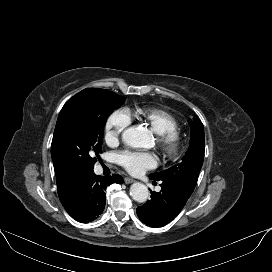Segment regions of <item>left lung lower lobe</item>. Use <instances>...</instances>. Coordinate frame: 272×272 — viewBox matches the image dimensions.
Returning <instances> with one entry per match:
<instances>
[{
	"mask_svg": "<svg viewBox=\"0 0 272 272\" xmlns=\"http://www.w3.org/2000/svg\"><path fill=\"white\" fill-rule=\"evenodd\" d=\"M160 186V192H153L151 199L137 208L139 219L151 227H161L173 220L192 194L183 186L170 181H161Z\"/></svg>",
	"mask_w": 272,
	"mask_h": 272,
	"instance_id": "obj_1",
	"label": "left lung lower lobe"
}]
</instances>
